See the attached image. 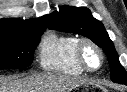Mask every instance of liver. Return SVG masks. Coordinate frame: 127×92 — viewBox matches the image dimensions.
<instances>
[{"mask_svg": "<svg viewBox=\"0 0 127 92\" xmlns=\"http://www.w3.org/2000/svg\"><path fill=\"white\" fill-rule=\"evenodd\" d=\"M84 83H87V80L54 74L12 80L0 78V92H70Z\"/></svg>", "mask_w": 127, "mask_h": 92, "instance_id": "liver-1", "label": "liver"}]
</instances>
